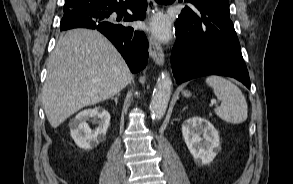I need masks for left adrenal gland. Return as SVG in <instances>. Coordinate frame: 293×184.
Segmentation results:
<instances>
[{
    "mask_svg": "<svg viewBox=\"0 0 293 184\" xmlns=\"http://www.w3.org/2000/svg\"><path fill=\"white\" fill-rule=\"evenodd\" d=\"M187 109V107H184L183 110Z\"/></svg>",
    "mask_w": 293,
    "mask_h": 184,
    "instance_id": "left-adrenal-gland-1",
    "label": "left adrenal gland"
}]
</instances>
